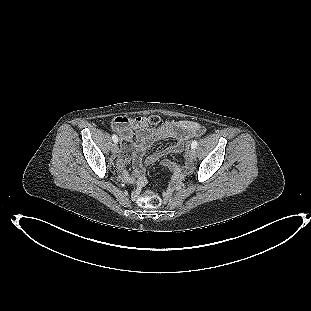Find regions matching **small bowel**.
I'll list each match as a JSON object with an SVG mask.
<instances>
[{"label":"small bowel","mask_w":311,"mask_h":311,"mask_svg":"<svg viewBox=\"0 0 311 311\" xmlns=\"http://www.w3.org/2000/svg\"><path fill=\"white\" fill-rule=\"evenodd\" d=\"M111 127L120 134L122 140V150L119 154L120 170L122 176L135 185L132 192L134 199L138 198L146 183L145 166L151 165L168 155L182 152L186 143L202 131L198 123L190 120L165 122L158 127L150 128L147 126L145 118L126 116L115 117L112 120ZM135 134L137 141L133 142ZM164 139H175L176 142L157 150L143 161V156L150 145L155 141ZM129 159H132L134 165L132 176L124 168ZM164 164L172 170L174 177H178L185 168L171 160L164 161ZM165 196L168 197V193Z\"/></svg>","instance_id":"c3829d8e"}]
</instances>
